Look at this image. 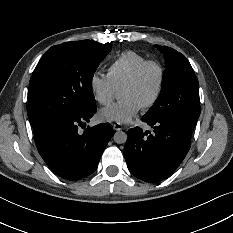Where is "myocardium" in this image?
<instances>
[{"label": "myocardium", "instance_id": "myocardium-1", "mask_svg": "<svg viewBox=\"0 0 233 233\" xmlns=\"http://www.w3.org/2000/svg\"><path fill=\"white\" fill-rule=\"evenodd\" d=\"M150 66H156L158 68L160 77L156 92L152 99L143 105L144 109H149L153 107L159 101L163 93L166 79V69L164 65L158 60H146L131 74V76L122 85V88L134 86L139 81L144 71Z\"/></svg>", "mask_w": 233, "mask_h": 233}]
</instances>
